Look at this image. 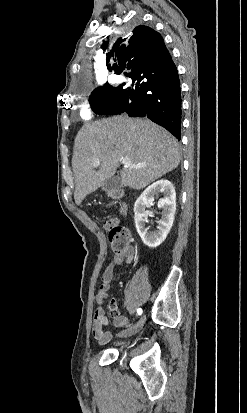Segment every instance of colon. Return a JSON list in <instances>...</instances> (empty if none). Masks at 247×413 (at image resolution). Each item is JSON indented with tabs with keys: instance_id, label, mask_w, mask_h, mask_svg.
Returning a JSON list of instances; mask_svg holds the SVG:
<instances>
[{
	"instance_id": "colon-1",
	"label": "colon",
	"mask_w": 247,
	"mask_h": 413,
	"mask_svg": "<svg viewBox=\"0 0 247 413\" xmlns=\"http://www.w3.org/2000/svg\"><path fill=\"white\" fill-rule=\"evenodd\" d=\"M108 230L109 240L118 251H122L128 244V231L116 218L107 219L103 222Z\"/></svg>"
}]
</instances>
